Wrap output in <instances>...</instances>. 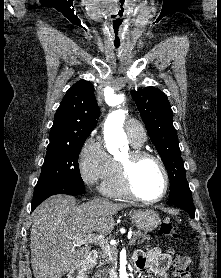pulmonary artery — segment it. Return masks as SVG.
Wrapping results in <instances>:
<instances>
[{
	"instance_id": "obj_1",
	"label": "pulmonary artery",
	"mask_w": 221,
	"mask_h": 278,
	"mask_svg": "<svg viewBox=\"0 0 221 278\" xmlns=\"http://www.w3.org/2000/svg\"><path fill=\"white\" fill-rule=\"evenodd\" d=\"M125 129L131 141L144 142L146 140L144 128L138 122L128 121Z\"/></svg>"
}]
</instances>
